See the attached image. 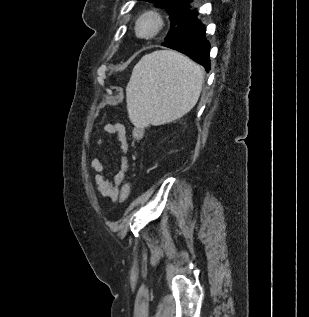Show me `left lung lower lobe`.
<instances>
[{
  "label": "left lung lower lobe",
  "instance_id": "1",
  "mask_svg": "<svg viewBox=\"0 0 309 317\" xmlns=\"http://www.w3.org/2000/svg\"><path fill=\"white\" fill-rule=\"evenodd\" d=\"M195 12L186 27L162 43V46L177 50L186 54L194 61L203 65L208 72L211 68L209 52L210 43L206 38V27L202 21L197 18Z\"/></svg>",
  "mask_w": 309,
  "mask_h": 317
}]
</instances>
